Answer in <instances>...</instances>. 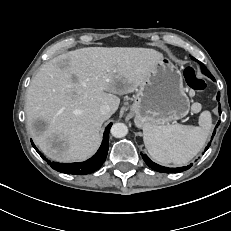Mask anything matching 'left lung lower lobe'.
Segmentation results:
<instances>
[{
	"mask_svg": "<svg viewBox=\"0 0 231 231\" xmlns=\"http://www.w3.org/2000/svg\"><path fill=\"white\" fill-rule=\"evenodd\" d=\"M212 80H214V77L211 78ZM220 99V93L217 94V101H219ZM219 114H221V109H220V104H219ZM220 122H218V124L216 125V128L218 127ZM216 129L214 130L213 135H215ZM213 139V137L211 138V140ZM210 146V143L208 144V146L205 148V151L208 149V147ZM142 158L144 159L145 163L153 170L158 171L160 173H179L182 171H185L187 169H189L192 164L186 166V167H180V168H168V167H163L160 166L154 162H152L146 155L142 154Z\"/></svg>",
	"mask_w": 231,
	"mask_h": 231,
	"instance_id": "obj_1",
	"label": "left lung lower lobe"
}]
</instances>
